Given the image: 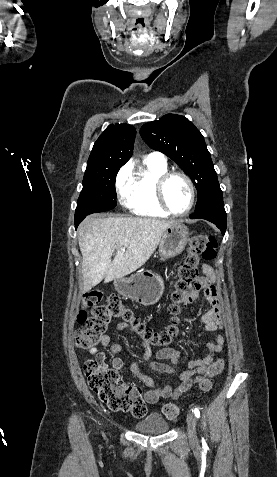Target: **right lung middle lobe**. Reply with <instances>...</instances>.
I'll use <instances>...</instances> for the list:
<instances>
[{"label":"right lung middle lobe","mask_w":277,"mask_h":477,"mask_svg":"<svg viewBox=\"0 0 277 477\" xmlns=\"http://www.w3.org/2000/svg\"><path fill=\"white\" fill-rule=\"evenodd\" d=\"M120 167L84 174L83 189L77 201L75 226L94 212L113 209L116 202L115 179Z\"/></svg>","instance_id":"1"}]
</instances>
